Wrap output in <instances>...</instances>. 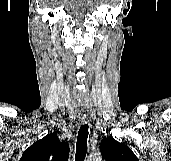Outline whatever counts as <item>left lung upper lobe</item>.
Wrapping results in <instances>:
<instances>
[{"mask_svg":"<svg viewBox=\"0 0 171 161\" xmlns=\"http://www.w3.org/2000/svg\"><path fill=\"white\" fill-rule=\"evenodd\" d=\"M100 149L105 161H139L128 146L119 143L112 136L101 140Z\"/></svg>","mask_w":171,"mask_h":161,"instance_id":"5c2ea615","label":"left lung upper lobe"}]
</instances>
